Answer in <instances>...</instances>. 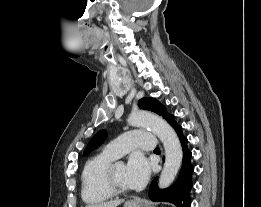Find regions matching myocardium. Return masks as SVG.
Here are the masks:
<instances>
[{
  "label": "myocardium",
  "mask_w": 261,
  "mask_h": 207,
  "mask_svg": "<svg viewBox=\"0 0 261 207\" xmlns=\"http://www.w3.org/2000/svg\"><path fill=\"white\" fill-rule=\"evenodd\" d=\"M117 163L112 162L109 167L106 170V175H105V181L108 190L113 194V195H122L126 194L129 192V189H125L120 187L116 180H115V175H114V168Z\"/></svg>",
  "instance_id": "obj_1"
}]
</instances>
